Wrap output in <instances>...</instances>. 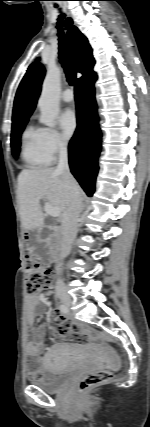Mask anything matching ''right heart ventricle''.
<instances>
[{"mask_svg": "<svg viewBox=\"0 0 150 427\" xmlns=\"http://www.w3.org/2000/svg\"><path fill=\"white\" fill-rule=\"evenodd\" d=\"M20 154L23 162L29 168H41L50 162L42 146L40 128L29 125L23 130L20 140Z\"/></svg>", "mask_w": 150, "mask_h": 427, "instance_id": "e07e8e85", "label": "right heart ventricle"}]
</instances>
